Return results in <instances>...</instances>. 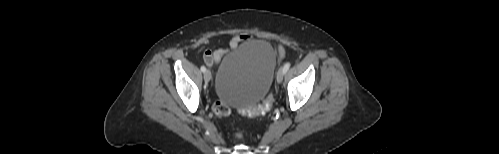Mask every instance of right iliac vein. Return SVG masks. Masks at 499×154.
Listing matches in <instances>:
<instances>
[{
  "label": "right iliac vein",
  "mask_w": 499,
  "mask_h": 154,
  "mask_svg": "<svg viewBox=\"0 0 499 154\" xmlns=\"http://www.w3.org/2000/svg\"><path fill=\"white\" fill-rule=\"evenodd\" d=\"M211 79V72L209 70H205L204 72V80L206 83H208Z\"/></svg>",
  "instance_id": "obj_1"
}]
</instances>
